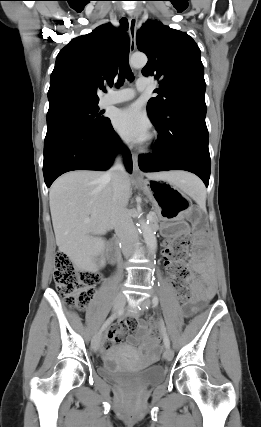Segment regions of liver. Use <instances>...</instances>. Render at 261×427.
<instances>
[{"label": "liver", "mask_w": 261, "mask_h": 427, "mask_svg": "<svg viewBox=\"0 0 261 427\" xmlns=\"http://www.w3.org/2000/svg\"><path fill=\"white\" fill-rule=\"evenodd\" d=\"M149 179L171 182L181 189L188 174L161 172L146 174ZM128 193L133 180L128 176ZM113 188L106 173L78 170L59 177L51 186L49 204L56 244L73 254L84 268H90L99 253L95 236L110 228Z\"/></svg>", "instance_id": "obj_1"}]
</instances>
